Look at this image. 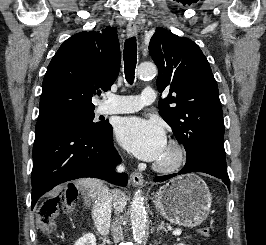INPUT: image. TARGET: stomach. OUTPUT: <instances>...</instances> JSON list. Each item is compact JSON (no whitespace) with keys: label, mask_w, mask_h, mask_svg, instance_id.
Returning <instances> with one entry per match:
<instances>
[{"label":"stomach","mask_w":266,"mask_h":245,"mask_svg":"<svg viewBox=\"0 0 266 245\" xmlns=\"http://www.w3.org/2000/svg\"><path fill=\"white\" fill-rule=\"evenodd\" d=\"M153 203L166 221L193 229L206 221L212 197L205 181L190 173L176 177L160 187Z\"/></svg>","instance_id":"0dacf381"}]
</instances>
